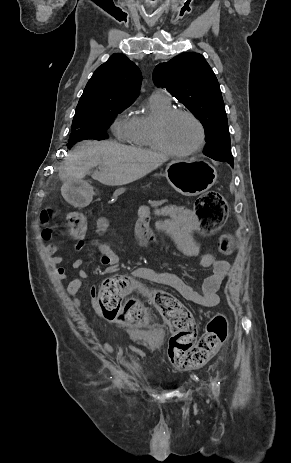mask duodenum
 <instances>
[{"instance_id":"410a0bca","label":"duodenum","mask_w":291,"mask_h":463,"mask_svg":"<svg viewBox=\"0 0 291 463\" xmlns=\"http://www.w3.org/2000/svg\"><path fill=\"white\" fill-rule=\"evenodd\" d=\"M152 237H147V239H151Z\"/></svg>"}]
</instances>
